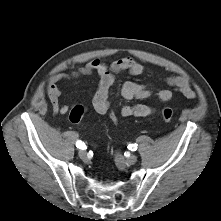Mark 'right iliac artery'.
<instances>
[{
	"label": "right iliac artery",
	"mask_w": 221,
	"mask_h": 221,
	"mask_svg": "<svg viewBox=\"0 0 221 221\" xmlns=\"http://www.w3.org/2000/svg\"><path fill=\"white\" fill-rule=\"evenodd\" d=\"M76 147L79 148V149H85L86 148V145L84 142L82 141H77L76 142Z\"/></svg>",
	"instance_id": "obj_1"
}]
</instances>
